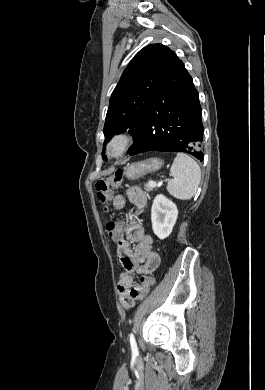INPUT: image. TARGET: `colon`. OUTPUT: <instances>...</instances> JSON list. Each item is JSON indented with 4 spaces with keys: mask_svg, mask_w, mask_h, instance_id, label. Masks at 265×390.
I'll use <instances>...</instances> for the list:
<instances>
[{
    "mask_svg": "<svg viewBox=\"0 0 265 390\" xmlns=\"http://www.w3.org/2000/svg\"><path fill=\"white\" fill-rule=\"evenodd\" d=\"M122 179V171H117L114 175L98 179L95 184V189L99 200L103 203H107L110 195L119 186ZM121 226V223L114 219H110L107 222V233L114 241H118L121 237ZM153 283L154 279L151 276H144L141 279V298H144L149 293Z\"/></svg>",
    "mask_w": 265,
    "mask_h": 390,
    "instance_id": "1",
    "label": "colon"
}]
</instances>
